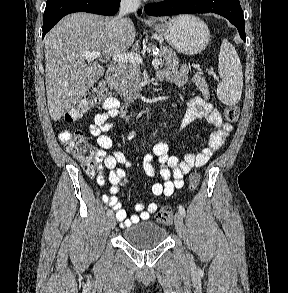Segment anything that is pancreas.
Listing matches in <instances>:
<instances>
[{
	"instance_id": "cf45deb5",
	"label": "pancreas",
	"mask_w": 288,
	"mask_h": 293,
	"mask_svg": "<svg viewBox=\"0 0 288 293\" xmlns=\"http://www.w3.org/2000/svg\"><path fill=\"white\" fill-rule=\"evenodd\" d=\"M158 58L160 59V66H165L172 70H177L179 67V59L170 47L161 44ZM140 74L138 64L130 62L119 63L114 88L125 101H133L139 96V91L141 90Z\"/></svg>"
}]
</instances>
